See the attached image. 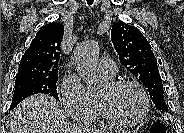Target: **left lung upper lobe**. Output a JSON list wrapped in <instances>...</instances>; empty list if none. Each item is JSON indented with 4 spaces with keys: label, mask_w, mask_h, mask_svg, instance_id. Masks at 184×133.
Returning <instances> with one entry per match:
<instances>
[{
    "label": "left lung upper lobe",
    "mask_w": 184,
    "mask_h": 133,
    "mask_svg": "<svg viewBox=\"0 0 184 133\" xmlns=\"http://www.w3.org/2000/svg\"><path fill=\"white\" fill-rule=\"evenodd\" d=\"M111 40L121 64L143 82L155 107L167 112L157 60L147 39L136 27L117 22L112 26Z\"/></svg>",
    "instance_id": "left-lung-upper-lobe-1"
}]
</instances>
